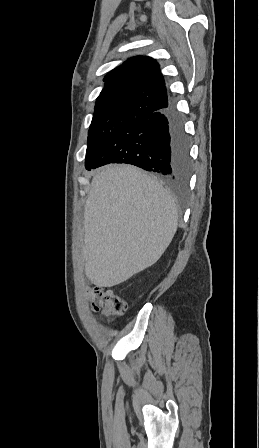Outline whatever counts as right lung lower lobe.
I'll list each match as a JSON object with an SVG mask.
<instances>
[{
	"label": "right lung lower lobe",
	"mask_w": 259,
	"mask_h": 448,
	"mask_svg": "<svg viewBox=\"0 0 259 448\" xmlns=\"http://www.w3.org/2000/svg\"><path fill=\"white\" fill-rule=\"evenodd\" d=\"M189 140L174 101L132 120L105 148L91 169L128 163L156 172L172 185L185 183L189 169Z\"/></svg>",
	"instance_id": "98d812e1"
}]
</instances>
